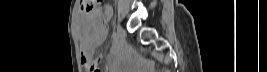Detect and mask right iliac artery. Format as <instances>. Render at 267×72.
Here are the masks:
<instances>
[{
  "label": "right iliac artery",
  "instance_id": "right-iliac-artery-1",
  "mask_svg": "<svg viewBox=\"0 0 267 72\" xmlns=\"http://www.w3.org/2000/svg\"><path fill=\"white\" fill-rule=\"evenodd\" d=\"M112 36H113V39H114V40H117V39H118V35H117L116 32H113V35H112Z\"/></svg>",
  "mask_w": 267,
  "mask_h": 72
}]
</instances>
